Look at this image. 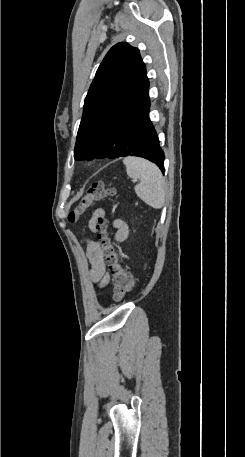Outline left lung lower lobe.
Returning a JSON list of instances; mask_svg holds the SVG:
<instances>
[{
    "mask_svg": "<svg viewBox=\"0 0 245 457\" xmlns=\"http://www.w3.org/2000/svg\"><path fill=\"white\" fill-rule=\"evenodd\" d=\"M149 108L150 100L137 111L118 114L82 141L76 160L138 156L155 163L164 173V152L149 119Z\"/></svg>",
    "mask_w": 245,
    "mask_h": 457,
    "instance_id": "obj_1",
    "label": "left lung lower lobe"
}]
</instances>
